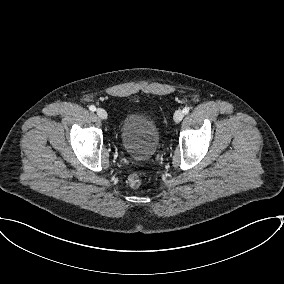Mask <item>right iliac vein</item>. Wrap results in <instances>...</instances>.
<instances>
[{"label":"right iliac vein","mask_w":284,"mask_h":284,"mask_svg":"<svg viewBox=\"0 0 284 284\" xmlns=\"http://www.w3.org/2000/svg\"><path fill=\"white\" fill-rule=\"evenodd\" d=\"M96 113H97V116L100 118V119H102V120H105V119H107V112L104 110V109H102V108H98L97 110H96Z\"/></svg>","instance_id":"1"}]
</instances>
